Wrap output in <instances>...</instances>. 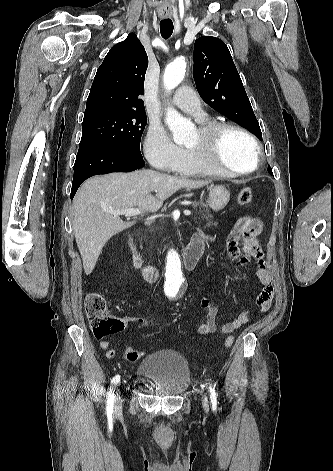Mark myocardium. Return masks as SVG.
Wrapping results in <instances>:
<instances>
[{
    "mask_svg": "<svg viewBox=\"0 0 333 471\" xmlns=\"http://www.w3.org/2000/svg\"><path fill=\"white\" fill-rule=\"evenodd\" d=\"M225 131H236L245 136L254 148V164L246 170L230 169L222 165L216 158L217 143L220 135ZM199 141L194 147H187L189 153L201 164L209 167L219 175L242 176L255 171L261 162V148L254 137L246 128L231 122L211 121L200 125L198 128Z\"/></svg>",
    "mask_w": 333,
    "mask_h": 471,
    "instance_id": "1",
    "label": "myocardium"
}]
</instances>
